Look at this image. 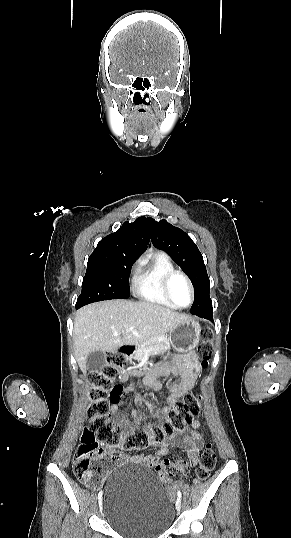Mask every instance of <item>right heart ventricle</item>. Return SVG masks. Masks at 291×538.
<instances>
[{
    "instance_id": "1",
    "label": "right heart ventricle",
    "mask_w": 291,
    "mask_h": 538,
    "mask_svg": "<svg viewBox=\"0 0 291 538\" xmlns=\"http://www.w3.org/2000/svg\"><path fill=\"white\" fill-rule=\"evenodd\" d=\"M174 270L175 265L165 252L150 253L136 271L134 280L136 295L145 302L174 308L163 290L164 277Z\"/></svg>"
}]
</instances>
